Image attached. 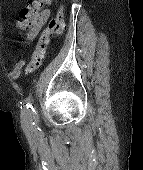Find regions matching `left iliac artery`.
Segmentation results:
<instances>
[{"label": "left iliac artery", "mask_w": 143, "mask_h": 170, "mask_svg": "<svg viewBox=\"0 0 143 170\" xmlns=\"http://www.w3.org/2000/svg\"><path fill=\"white\" fill-rule=\"evenodd\" d=\"M26 106H27L26 117L28 119L29 126L33 131L39 132L40 128L38 127V114L35 108L33 107L32 102L30 100L27 101Z\"/></svg>", "instance_id": "left-iliac-artery-1"}]
</instances>
